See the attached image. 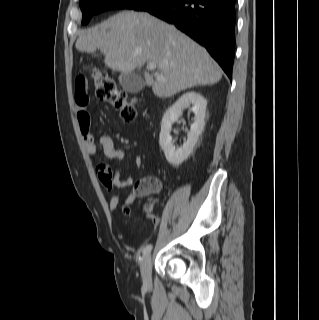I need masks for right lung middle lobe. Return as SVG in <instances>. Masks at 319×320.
Instances as JSON below:
<instances>
[{
  "instance_id": "right-lung-middle-lobe-1",
  "label": "right lung middle lobe",
  "mask_w": 319,
  "mask_h": 320,
  "mask_svg": "<svg viewBox=\"0 0 319 320\" xmlns=\"http://www.w3.org/2000/svg\"><path fill=\"white\" fill-rule=\"evenodd\" d=\"M152 0H80L83 13L82 24H87L91 17L110 9H134Z\"/></svg>"
}]
</instances>
